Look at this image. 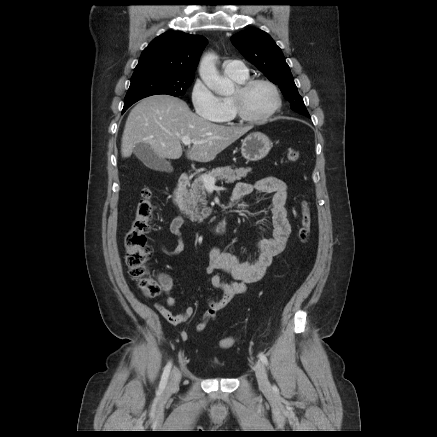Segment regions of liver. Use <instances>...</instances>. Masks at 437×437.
Listing matches in <instances>:
<instances>
[{"label": "liver", "mask_w": 437, "mask_h": 437, "mask_svg": "<svg viewBox=\"0 0 437 437\" xmlns=\"http://www.w3.org/2000/svg\"><path fill=\"white\" fill-rule=\"evenodd\" d=\"M251 126H223L194 114L181 99L153 95L141 100L129 113L121 140L122 157L131 156L139 143L149 144L161 158L179 159L181 141L188 137L196 144L186 152L190 160L210 162L217 154L243 136Z\"/></svg>", "instance_id": "obj_1"}]
</instances>
